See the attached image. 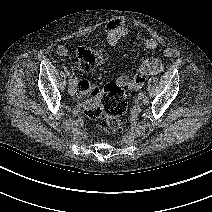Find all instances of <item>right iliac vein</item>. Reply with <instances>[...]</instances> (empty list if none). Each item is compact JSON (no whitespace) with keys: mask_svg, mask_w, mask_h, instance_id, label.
Here are the masks:
<instances>
[{"mask_svg":"<svg viewBox=\"0 0 212 212\" xmlns=\"http://www.w3.org/2000/svg\"><path fill=\"white\" fill-rule=\"evenodd\" d=\"M68 92L71 96H74L75 93H76V89L73 85H70L69 88H68Z\"/></svg>","mask_w":212,"mask_h":212,"instance_id":"1","label":"right iliac vein"}]
</instances>
